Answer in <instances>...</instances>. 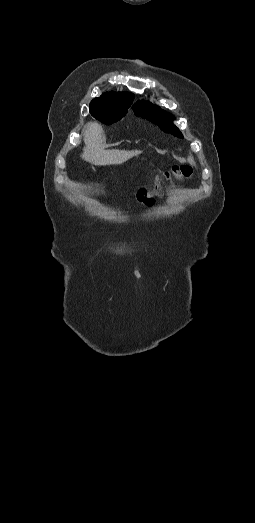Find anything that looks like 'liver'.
Segmentation results:
<instances>
[{
  "mask_svg": "<svg viewBox=\"0 0 255 523\" xmlns=\"http://www.w3.org/2000/svg\"><path fill=\"white\" fill-rule=\"evenodd\" d=\"M86 148L81 154L82 160L94 164V166H111V164H122L130 160L133 156L141 154L140 150H104L105 136L103 128L97 122L87 124L83 132Z\"/></svg>",
  "mask_w": 255,
  "mask_h": 523,
  "instance_id": "liver-1",
  "label": "liver"
}]
</instances>
